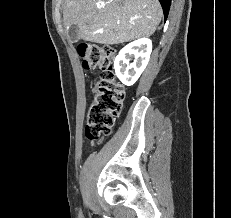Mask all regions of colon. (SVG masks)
Masks as SVG:
<instances>
[{"instance_id": "5ec220e1", "label": "colon", "mask_w": 231, "mask_h": 218, "mask_svg": "<svg viewBox=\"0 0 231 218\" xmlns=\"http://www.w3.org/2000/svg\"><path fill=\"white\" fill-rule=\"evenodd\" d=\"M77 51L86 70H101L100 80L93 88L88 103L85 126L87 139L98 141L110 134L122 109L125 88L115 78L113 47L83 43Z\"/></svg>"}]
</instances>
